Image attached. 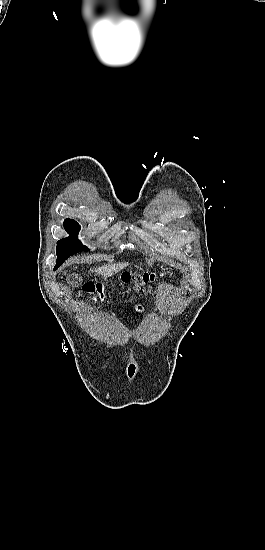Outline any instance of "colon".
Returning <instances> with one entry per match:
<instances>
[{
    "label": "colon",
    "mask_w": 265,
    "mask_h": 550,
    "mask_svg": "<svg viewBox=\"0 0 265 550\" xmlns=\"http://www.w3.org/2000/svg\"><path fill=\"white\" fill-rule=\"evenodd\" d=\"M157 278L155 273H124L120 277V282L136 292H143L147 291ZM83 290L95 302L104 296V287L100 283H86Z\"/></svg>",
    "instance_id": "colon-1"
}]
</instances>
